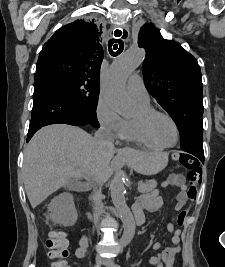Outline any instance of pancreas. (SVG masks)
<instances>
[{"label":"pancreas","instance_id":"obj_1","mask_svg":"<svg viewBox=\"0 0 225 267\" xmlns=\"http://www.w3.org/2000/svg\"><path fill=\"white\" fill-rule=\"evenodd\" d=\"M156 187H157V182L156 180L152 179L146 182H140L138 185V191L144 194L154 190Z\"/></svg>","mask_w":225,"mask_h":267}]
</instances>
